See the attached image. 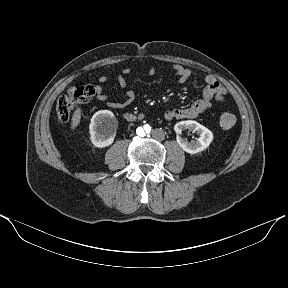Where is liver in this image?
Returning a JSON list of instances; mask_svg holds the SVG:
<instances>
[{"label":"liver","instance_id":"1","mask_svg":"<svg viewBox=\"0 0 288 288\" xmlns=\"http://www.w3.org/2000/svg\"><path fill=\"white\" fill-rule=\"evenodd\" d=\"M81 119V111L80 109H76L73 116H72V122H71V128L74 129L78 126Z\"/></svg>","mask_w":288,"mask_h":288}]
</instances>
